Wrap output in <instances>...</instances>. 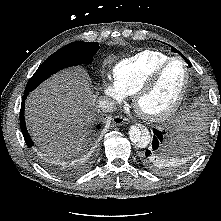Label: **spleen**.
Returning <instances> with one entry per match:
<instances>
[{"label": "spleen", "mask_w": 221, "mask_h": 221, "mask_svg": "<svg viewBox=\"0 0 221 221\" xmlns=\"http://www.w3.org/2000/svg\"><path fill=\"white\" fill-rule=\"evenodd\" d=\"M180 140V137L178 136V137H176L175 139H174V143H177L178 141Z\"/></svg>", "instance_id": "1"}]
</instances>
